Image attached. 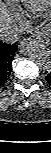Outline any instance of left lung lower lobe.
Wrapping results in <instances>:
<instances>
[{
	"instance_id": "obj_1",
	"label": "left lung lower lobe",
	"mask_w": 51,
	"mask_h": 153,
	"mask_svg": "<svg viewBox=\"0 0 51 153\" xmlns=\"http://www.w3.org/2000/svg\"><path fill=\"white\" fill-rule=\"evenodd\" d=\"M46 80L51 85V73L46 77Z\"/></svg>"
}]
</instances>
